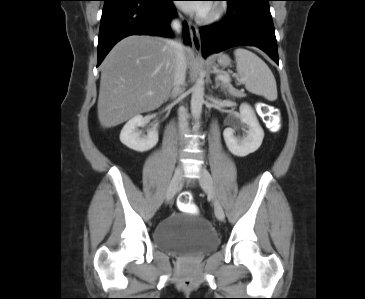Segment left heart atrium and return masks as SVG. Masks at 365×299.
Returning <instances> with one entry per match:
<instances>
[{"mask_svg": "<svg viewBox=\"0 0 365 299\" xmlns=\"http://www.w3.org/2000/svg\"><path fill=\"white\" fill-rule=\"evenodd\" d=\"M192 2H199V3H187V4H181V6L189 12H194L200 15H202L208 10V4L205 3L206 1H192Z\"/></svg>", "mask_w": 365, "mask_h": 299, "instance_id": "39dd6f15", "label": "left heart atrium"}]
</instances>
